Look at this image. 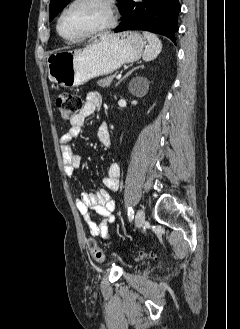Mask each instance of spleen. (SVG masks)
<instances>
[{
    "mask_svg": "<svg viewBox=\"0 0 240 329\" xmlns=\"http://www.w3.org/2000/svg\"><path fill=\"white\" fill-rule=\"evenodd\" d=\"M144 37L148 40V46L143 53V60L148 62L154 60L162 50V43L157 35L150 32H143Z\"/></svg>",
    "mask_w": 240,
    "mask_h": 329,
    "instance_id": "obj_1",
    "label": "spleen"
}]
</instances>
